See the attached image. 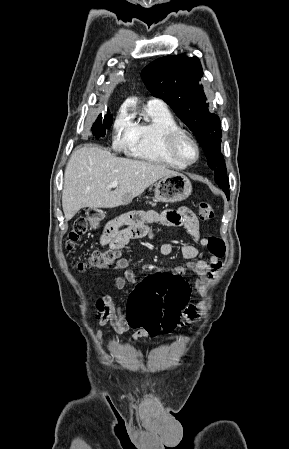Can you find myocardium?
Here are the masks:
<instances>
[{
    "mask_svg": "<svg viewBox=\"0 0 289 449\" xmlns=\"http://www.w3.org/2000/svg\"><path fill=\"white\" fill-rule=\"evenodd\" d=\"M181 140H187L188 142H190L193 145V147L195 149V157L192 160H188V159L184 158L182 156V154L180 153L179 144H180ZM165 144H166V149H167L169 155L173 159H175L176 161H178L179 163H181L185 166H189V165L196 163L200 158L201 152H200V146H199L197 140L189 132H187L184 129L177 128V129L169 131L165 137Z\"/></svg>",
    "mask_w": 289,
    "mask_h": 449,
    "instance_id": "obj_1",
    "label": "myocardium"
}]
</instances>
